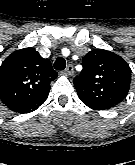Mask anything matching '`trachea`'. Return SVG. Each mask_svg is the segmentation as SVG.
<instances>
[{
    "label": "trachea",
    "instance_id": "1",
    "mask_svg": "<svg viewBox=\"0 0 135 165\" xmlns=\"http://www.w3.org/2000/svg\"><path fill=\"white\" fill-rule=\"evenodd\" d=\"M65 67H66L65 59L62 57H58L54 63V68L56 70H64Z\"/></svg>",
    "mask_w": 135,
    "mask_h": 165
}]
</instances>
